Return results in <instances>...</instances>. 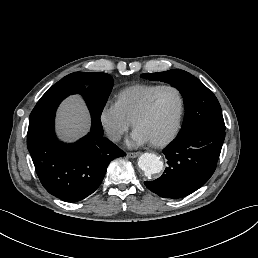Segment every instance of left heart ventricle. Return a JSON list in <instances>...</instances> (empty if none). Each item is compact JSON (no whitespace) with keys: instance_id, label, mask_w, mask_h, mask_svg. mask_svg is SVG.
<instances>
[{"instance_id":"b2bd125f","label":"left heart ventricle","mask_w":258,"mask_h":258,"mask_svg":"<svg viewBox=\"0 0 258 258\" xmlns=\"http://www.w3.org/2000/svg\"><path fill=\"white\" fill-rule=\"evenodd\" d=\"M179 100L172 89L159 91L151 104L148 116L140 124V133L156 139L168 137L177 121Z\"/></svg>"}]
</instances>
